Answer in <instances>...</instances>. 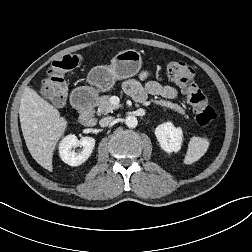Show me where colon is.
<instances>
[{
    "label": "colon",
    "mask_w": 252,
    "mask_h": 252,
    "mask_svg": "<svg viewBox=\"0 0 252 252\" xmlns=\"http://www.w3.org/2000/svg\"><path fill=\"white\" fill-rule=\"evenodd\" d=\"M81 60L80 55L70 54L53 62L41 88V94L53 105L60 106L65 102L67 95L65 74L76 68ZM167 72L171 81L186 95L187 103L191 106L197 123L204 127L212 124L216 119V112L195 83L194 69L184 62H172Z\"/></svg>",
    "instance_id": "1"
}]
</instances>
